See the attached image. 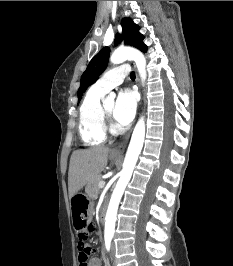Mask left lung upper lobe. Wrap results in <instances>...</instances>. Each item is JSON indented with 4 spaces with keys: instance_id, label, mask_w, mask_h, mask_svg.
<instances>
[{
    "instance_id": "obj_1",
    "label": "left lung upper lobe",
    "mask_w": 233,
    "mask_h": 266,
    "mask_svg": "<svg viewBox=\"0 0 233 266\" xmlns=\"http://www.w3.org/2000/svg\"><path fill=\"white\" fill-rule=\"evenodd\" d=\"M122 35L117 34L115 45L124 39L125 43L132 45L142 52L147 51L146 45L143 43L144 36L139 33V26L134 24L130 18H123L121 21ZM110 55V48L104 47L93 59L90 61L86 71L81 77V86L78 90V103L82 94L88 86L98 78V76L105 70L108 64Z\"/></svg>"
}]
</instances>
